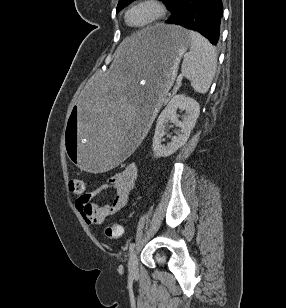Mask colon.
<instances>
[{"label":"colon","instance_id":"colon-1","mask_svg":"<svg viewBox=\"0 0 286 308\" xmlns=\"http://www.w3.org/2000/svg\"><path fill=\"white\" fill-rule=\"evenodd\" d=\"M83 189V181L80 179H72L69 182V190L71 192H80ZM104 235L110 239L119 238L122 235L123 228L119 224H109L104 226Z\"/></svg>","mask_w":286,"mask_h":308}]
</instances>
